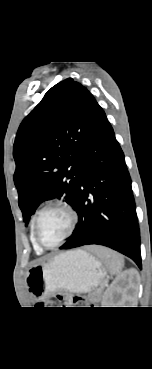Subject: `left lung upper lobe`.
Masks as SVG:
<instances>
[{"label":"left lung upper lobe","mask_w":152,"mask_h":369,"mask_svg":"<svg viewBox=\"0 0 152 369\" xmlns=\"http://www.w3.org/2000/svg\"><path fill=\"white\" fill-rule=\"evenodd\" d=\"M100 108L84 86L68 78L50 88L22 121L13 156L25 222L45 200L64 196L75 208L81 157Z\"/></svg>","instance_id":"5c2ea615"}]
</instances>
